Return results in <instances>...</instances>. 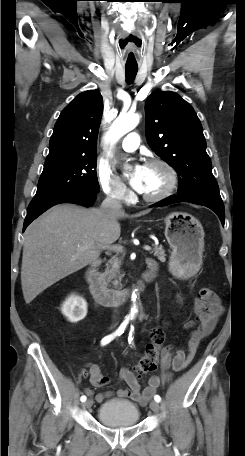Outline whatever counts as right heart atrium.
Returning a JSON list of instances; mask_svg holds the SVG:
<instances>
[{
  "instance_id": "right-heart-atrium-1",
  "label": "right heart atrium",
  "mask_w": 245,
  "mask_h": 456,
  "mask_svg": "<svg viewBox=\"0 0 245 456\" xmlns=\"http://www.w3.org/2000/svg\"><path fill=\"white\" fill-rule=\"evenodd\" d=\"M96 177L102 192L108 198L118 202L129 200L130 194L126 185L110 169L103 165H97Z\"/></svg>"
}]
</instances>
